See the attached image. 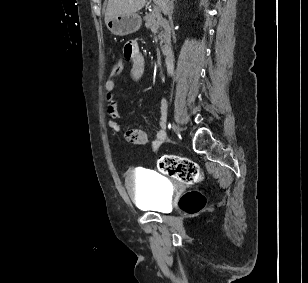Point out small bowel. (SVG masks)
Here are the masks:
<instances>
[{"instance_id": "c3829d8e", "label": "small bowel", "mask_w": 308, "mask_h": 283, "mask_svg": "<svg viewBox=\"0 0 308 283\" xmlns=\"http://www.w3.org/2000/svg\"><path fill=\"white\" fill-rule=\"evenodd\" d=\"M124 56L132 62L130 76L133 80H141L145 74L146 63L144 56L139 50L135 41H129L123 48ZM105 99L107 103V113L109 116L108 125L115 132H121L120 124L121 113L118 102L115 98L116 82L113 78L105 82ZM166 119H167V102L162 99L160 105L159 130L153 136V146L157 149L166 141ZM126 140L132 144L144 145L148 142V134L142 129H129L124 132Z\"/></svg>"}]
</instances>
